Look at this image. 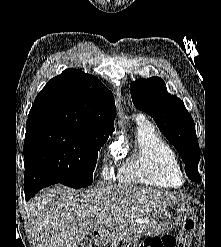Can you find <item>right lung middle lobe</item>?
<instances>
[{
  "mask_svg": "<svg viewBox=\"0 0 221 247\" xmlns=\"http://www.w3.org/2000/svg\"><path fill=\"white\" fill-rule=\"evenodd\" d=\"M108 138L65 127L26 130L24 160L72 188L92 184L98 151Z\"/></svg>",
  "mask_w": 221,
  "mask_h": 247,
  "instance_id": "dd1d6c3e",
  "label": "right lung middle lobe"
}]
</instances>
